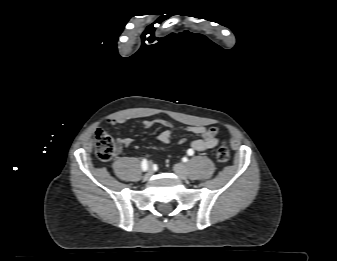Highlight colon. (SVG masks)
Returning a JSON list of instances; mask_svg holds the SVG:
<instances>
[{
    "instance_id": "obj_1",
    "label": "colon",
    "mask_w": 337,
    "mask_h": 261,
    "mask_svg": "<svg viewBox=\"0 0 337 261\" xmlns=\"http://www.w3.org/2000/svg\"><path fill=\"white\" fill-rule=\"evenodd\" d=\"M117 152V146L110 134L103 130L95 133V153L102 162L110 161ZM218 162L225 163L229 160L230 153L226 146H220L215 154Z\"/></svg>"
}]
</instances>
